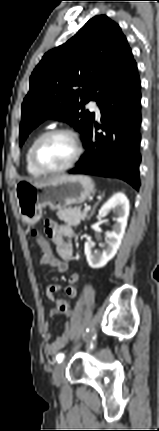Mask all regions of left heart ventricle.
I'll return each mask as SVG.
<instances>
[{
	"instance_id": "left-heart-ventricle-1",
	"label": "left heart ventricle",
	"mask_w": 159,
	"mask_h": 431,
	"mask_svg": "<svg viewBox=\"0 0 159 431\" xmlns=\"http://www.w3.org/2000/svg\"><path fill=\"white\" fill-rule=\"evenodd\" d=\"M75 146L68 135H54L46 139L39 147L38 159L46 167L60 168L74 156Z\"/></svg>"
}]
</instances>
